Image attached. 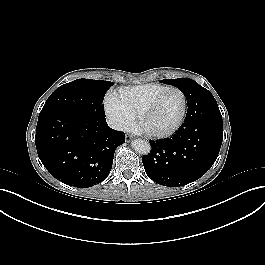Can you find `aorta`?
Segmentation results:
<instances>
[{"label": "aorta", "mask_w": 265, "mask_h": 265, "mask_svg": "<svg viewBox=\"0 0 265 265\" xmlns=\"http://www.w3.org/2000/svg\"><path fill=\"white\" fill-rule=\"evenodd\" d=\"M132 148L140 154L147 155L151 151L150 143L143 139H135L131 143Z\"/></svg>", "instance_id": "aorta-1"}]
</instances>
